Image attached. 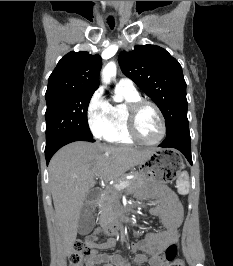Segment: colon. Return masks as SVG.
Returning a JSON list of instances; mask_svg holds the SVG:
<instances>
[{
  "mask_svg": "<svg viewBox=\"0 0 233 266\" xmlns=\"http://www.w3.org/2000/svg\"><path fill=\"white\" fill-rule=\"evenodd\" d=\"M100 232H95L83 240H77L72 253L69 256L70 266H83V258L89 254L91 249V244L95 242L99 236ZM177 248L175 245H169L166 248L165 256L169 262V266H185L184 262L176 258Z\"/></svg>",
  "mask_w": 233,
  "mask_h": 266,
  "instance_id": "colon-1",
  "label": "colon"
}]
</instances>
